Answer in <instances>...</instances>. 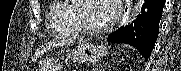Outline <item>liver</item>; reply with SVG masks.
<instances>
[{
  "label": "liver",
  "instance_id": "1",
  "mask_svg": "<svg viewBox=\"0 0 181 71\" xmlns=\"http://www.w3.org/2000/svg\"><path fill=\"white\" fill-rule=\"evenodd\" d=\"M65 44L64 42H49L48 44H45L44 46H42L41 48H39L37 50V52L35 53V56L33 57V61L37 60L44 52H46L47 50H50L52 48H55L59 45H63Z\"/></svg>",
  "mask_w": 181,
  "mask_h": 71
}]
</instances>
